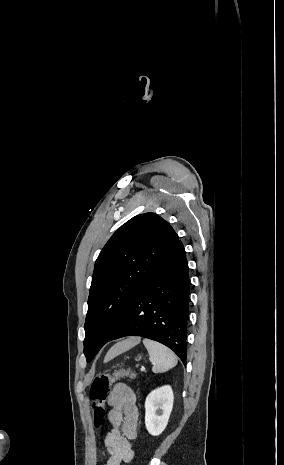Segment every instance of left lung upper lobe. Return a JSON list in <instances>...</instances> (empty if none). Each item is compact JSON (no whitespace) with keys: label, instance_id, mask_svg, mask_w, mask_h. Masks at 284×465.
I'll list each match as a JSON object with an SVG mask.
<instances>
[{"label":"left lung upper lobe","instance_id":"left-lung-upper-lobe-1","mask_svg":"<svg viewBox=\"0 0 284 465\" xmlns=\"http://www.w3.org/2000/svg\"><path fill=\"white\" fill-rule=\"evenodd\" d=\"M178 240L167 221L145 213L122 225L103 247L95 263L84 325L88 362L107 343L133 297Z\"/></svg>","mask_w":284,"mask_h":465}]
</instances>
